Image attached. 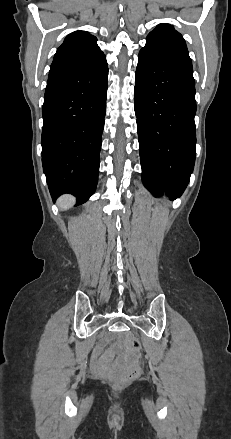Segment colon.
<instances>
[{"mask_svg": "<svg viewBox=\"0 0 231 439\" xmlns=\"http://www.w3.org/2000/svg\"><path fill=\"white\" fill-rule=\"evenodd\" d=\"M130 347L135 353H140V351H141V343L136 338H134L130 341ZM139 370H140V364H139V361H136L132 371H130L129 373H126V374L119 375L117 377V381L119 383H125V382L135 378L137 376V374L139 373Z\"/></svg>", "mask_w": 231, "mask_h": 439, "instance_id": "1", "label": "colon"}]
</instances>
